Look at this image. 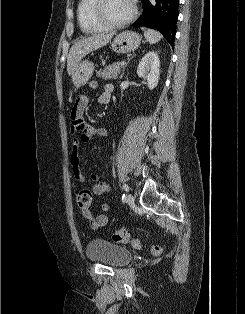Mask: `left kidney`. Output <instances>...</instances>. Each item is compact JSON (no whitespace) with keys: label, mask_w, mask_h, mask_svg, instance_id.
Masks as SVG:
<instances>
[{"label":"left kidney","mask_w":245,"mask_h":314,"mask_svg":"<svg viewBox=\"0 0 245 314\" xmlns=\"http://www.w3.org/2000/svg\"><path fill=\"white\" fill-rule=\"evenodd\" d=\"M160 60L156 51L146 53L137 67L139 77L147 80L148 87L153 90L159 81Z\"/></svg>","instance_id":"1"}]
</instances>
